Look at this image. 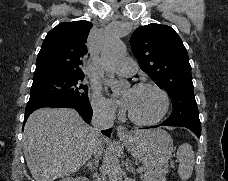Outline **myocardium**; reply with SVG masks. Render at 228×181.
<instances>
[{
  "label": "myocardium",
  "mask_w": 228,
  "mask_h": 181,
  "mask_svg": "<svg viewBox=\"0 0 228 181\" xmlns=\"http://www.w3.org/2000/svg\"><path fill=\"white\" fill-rule=\"evenodd\" d=\"M146 87L154 89L160 95L161 106H160L158 112L156 113L155 116H153L150 119H139V118L135 117L130 111H128V117L132 122H134L138 125L149 126V125H153L156 122H158L165 115V113L167 112V109H168L169 99H168V95L166 94V92L155 83L147 82V81L131 83V88H133V89L146 88Z\"/></svg>",
  "instance_id": "1"
}]
</instances>
